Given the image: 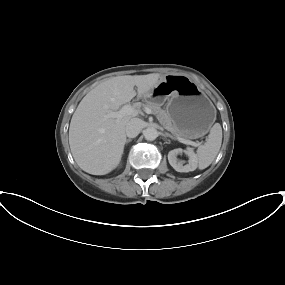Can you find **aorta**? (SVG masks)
<instances>
[{"label": "aorta", "instance_id": "obj_1", "mask_svg": "<svg viewBox=\"0 0 285 285\" xmlns=\"http://www.w3.org/2000/svg\"><path fill=\"white\" fill-rule=\"evenodd\" d=\"M158 132L154 127H148L144 131V137L146 140L153 141L157 138Z\"/></svg>", "mask_w": 285, "mask_h": 285}]
</instances>
